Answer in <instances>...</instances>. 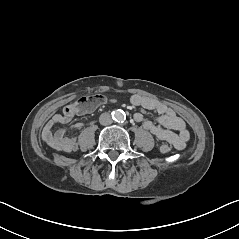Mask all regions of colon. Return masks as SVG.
Returning <instances> with one entry per match:
<instances>
[{
    "instance_id": "obj_1",
    "label": "colon",
    "mask_w": 239,
    "mask_h": 239,
    "mask_svg": "<svg viewBox=\"0 0 239 239\" xmlns=\"http://www.w3.org/2000/svg\"><path fill=\"white\" fill-rule=\"evenodd\" d=\"M105 97L101 94L85 96L79 99L75 103V109H86L89 107L100 105L104 102ZM162 153H169L171 151V147L167 144H164L160 147Z\"/></svg>"
}]
</instances>
